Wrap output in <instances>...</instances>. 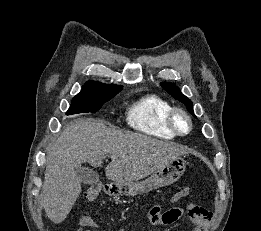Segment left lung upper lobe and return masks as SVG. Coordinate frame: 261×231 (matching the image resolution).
<instances>
[{"label":"left lung upper lobe","instance_id":"1","mask_svg":"<svg viewBox=\"0 0 261 231\" xmlns=\"http://www.w3.org/2000/svg\"><path fill=\"white\" fill-rule=\"evenodd\" d=\"M161 86H163V88L169 94H171L175 99L184 103L186 105V108L188 109V111L194 115L191 100L188 99L186 96H184L178 87H176L174 84H171V83H161Z\"/></svg>","mask_w":261,"mask_h":231}]
</instances>
